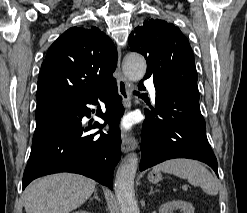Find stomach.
<instances>
[{
    "label": "stomach",
    "mask_w": 247,
    "mask_h": 213,
    "mask_svg": "<svg viewBox=\"0 0 247 213\" xmlns=\"http://www.w3.org/2000/svg\"><path fill=\"white\" fill-rule=\"evenodd\" d=\"M148 180L151 182V183H157L161 180V174L158 172V173H150L148 175Z\"/></svg>",
    "instance_id": "0dacf381"
}]
</instances>
